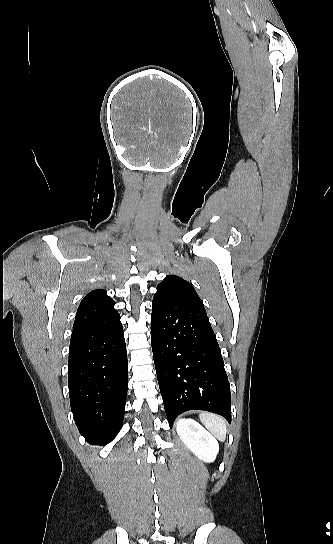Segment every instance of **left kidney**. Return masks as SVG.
I'll return each mask as SVG.
<instances>
[{"instance_id": "left-kidney-1", "label": "left kidney", "mask_w": 333, "mask_h": 544, "mask_svg": "<svg viewBox=\"0 0 333 544\" xmlns=\"http://www.w3.org/2000/svg\"><path fill=\"white\" fill-rule=\"evenodd\" d=\"M177 433L183 443L200 460L212 462L218 451V441L199 423L192 419H180L176 424Z\"/></svg>"}]
</instances>
